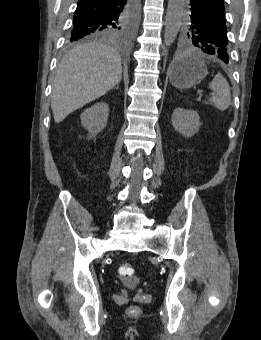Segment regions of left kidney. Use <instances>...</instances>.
Segmentation results:
<instances>
[{"mask_svg": "<svg viewBox=\"0 0 261 340\" xmlns=\"http://www.w3.org/2000/svg\"><path fill=\"white\" fill-rule=\"evenodd\" d=\"M172 125L184 137H192L201 126L200 117L196 111L176 108L172 114Z\"/></svg>", "mask_w": 261, "mask_h": 340, "instance_id": "obj_1", "label": "left kidney"}]
</instances>
